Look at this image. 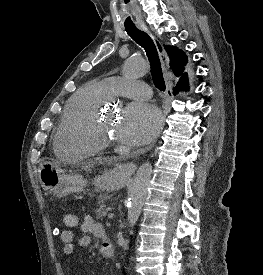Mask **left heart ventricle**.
Returning <instances> with one entry per match:
<instances>
[{"label":"left heart ventricle","mask_w":263,"mask_h":275,"mask_svg":"<svg viewBox=\"0 0 263 275\" xmlns=\"http://www.w3.org/2000/svg\"><path fill=\"white\" fill-rule=\"evenodd\" d=\"M104 133L110 137L117 138V118L114 115H106L102 118Z\"/></svg>","instance_id":"1"}]
</instances>
